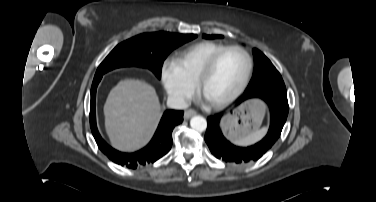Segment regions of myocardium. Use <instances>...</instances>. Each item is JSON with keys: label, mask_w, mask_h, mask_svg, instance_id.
<instances>
[{"label": "myocardium", "mask_w": 376, "mask_h": 202, "mask_svg": "<svg viewBox=\"0 0 376 202\" xmlns=\"http://www.w3.org/2000/svg\"><path fill=\"white\" fill-rule=\"evenodd\" d=\"M233 50L242 53L244 57L246 58L247 65H246V71H245L244 77L240 85L238 86V88L234 92H232L230 95H228L227 97L219 101H215V102L208 101L204 93L205 83L207 79L209 78V76L211 75V73L213 72V70L215 69V67L217 66L220 59L224 56V54ZM252 70H253V58L247 49L239 45L226 46L225 48L217 52L214 56H212L207 61V63L202 68L196 80V86H197L199 93L206 100V102L208 103L210 107L214 109H222L228 106L229 104H231L233 101H235L244 92V90L246 89L249 83Z\"/></svg>", "instance_id": "f54148a6"}]
</instances>
